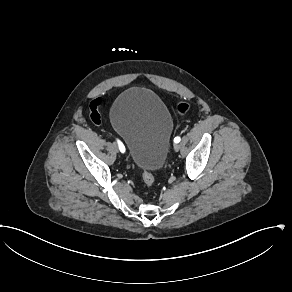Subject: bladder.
I'll use <instances>...</instances> for the list:
<instances>
[{
  "label": "bladder",
  "mask_w": 292,
  "mask_h": 292,
  "mask_svg": "<svg viewBox=\"0 0 292 292\" xmlns=\"http://www.w3.org/2000/svg\"><path fill=\"white\" fill-rule=\"evenodd\" d=\"M110 122L123 138L127 154L138 168L150 172L162 168L171 140L173 119L155 92L143 87L126 89L111 107Z\"/></svg>",
  "instance_id": "obj_1"
}]
</instances>
